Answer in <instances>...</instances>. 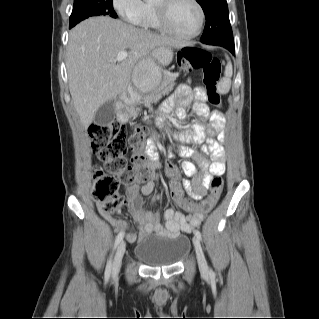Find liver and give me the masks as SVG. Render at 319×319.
<instances>
[{"label":"liver","mask_w":319,"mask_h":319,"mask_svg":"<svg viewBox=\"0 0 319 319\" xmlns=\"http://www.w3.org/2000/svg\"><path fill=\"white\" fill-rule=\"evenodd\" d=\"M160 46L184 44L111 17H92L69 33L66 68L69 90L80 121L87 129L101 105L127 90L136 65ZM128 57L116 64L120 51Z\"/></svg>","instance_id":"6515ba94"}]
</instances>
